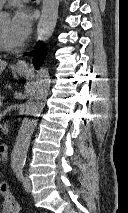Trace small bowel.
I'll return each instance as SVG.
<instances>
[{
    "instance_id": "c3829d8e",
    "label": "small bowel",
    "mask_w": 128,
    "mask_h": 213,
    "mask_svg": "<svg viewBox=\"0 0 128 213\" xmlns=\"http://www.w3.org/2000/svg\"><path fill=\"white\" fill-rule=\"evenodd\" d=\"M0 213H10L4 202H2V204L0 205Z\"/></svg>"
}]
</instances>
